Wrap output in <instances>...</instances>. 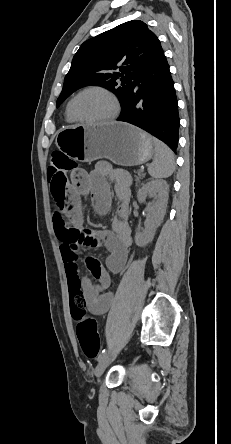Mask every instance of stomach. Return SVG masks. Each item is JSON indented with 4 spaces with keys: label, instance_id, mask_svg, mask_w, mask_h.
I'll use <instances>...</instances> for the list:
<instances>
[{
    "label": "stomach",
    "instance_id": "0dacf381",
    "mask_svg": "<svg viewBox=\"0 0 231 444\" xmlns=\"http://www.w3.org/2000/svg\"><path fill=\"white\" fill-rule=\"evenodd\" d=\"M55 143L77 161L106 158L121 166L141 165L155 151L149 135L123 122L66 126L57 132Z\"/></svg>",
    "mask_w": 231,
    "mask_h": 444
}]
</instances>
